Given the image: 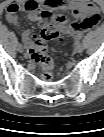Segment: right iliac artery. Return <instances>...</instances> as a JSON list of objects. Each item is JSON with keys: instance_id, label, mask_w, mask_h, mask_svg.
Segmentation results:
<instances>
[{"instance_id": "82829eb1", "label": "right iliac artery", "mask_w": 104, "mask_h": 137, "mask_svg": "<svg viewBox=\"0 0 104 137\" xmlns=\"http://www.w3.org/2000/svg\"><path fill=\"white\" fill-rule=\"evenodd\" d=\"M16 43L24 45V41H20L19 39H16Z\"/></svg>"}]
</instances>
